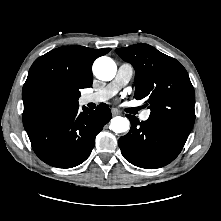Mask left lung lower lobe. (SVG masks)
Wrapping results in <instances>:
<instances>
[{
  "label": "left lung lower lobe",
  "instance_id": "obj_1",
  "mask_svg": "<svg viewBox=\"0 0 221 221\" xmlns=\"http://www.w3.org/2000/svg\"><path fill=\"white\" fill-rule=\"evenodd\" d=\"M131 129L122 136L119 148L126 160L135 166L155 169L173 161L181 152L191 130L149 117L146 121L126 115Z\"/></svg>",
  "mask_w": 221,
  "mask_h": 221
}]
</instances>
